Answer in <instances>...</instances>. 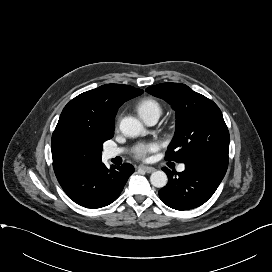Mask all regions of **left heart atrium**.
I'll list each match as a JSON object with an SVG mask.
<instances>
[{"label": "left heart atrium", "instance_id": "1", "mask_svg": "<svg viewBox=\"0 0 272 272\" xmlns=\"http://www.w3.org/2000/svg\"><path fill=\"white\" fill-rule=\"evenodd\" d=\"M155 149L156 145L153 143L141 144L135 149V156L142 159L146 158L148 153L154 151Z\"/></svg>", "mask_w": 272, "mask_h": 272}]
</instances>
